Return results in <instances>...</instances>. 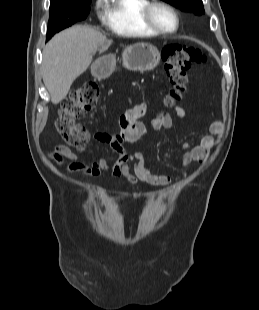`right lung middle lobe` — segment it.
Returning <instances> with one entry per match:
<instances>
[{
	"instance_id": "obj_1",
	"label": "right lung middle lobe",
	"mask_w": 259,
	"mask_h": 310,
	"mask_svg": "<svg viewBox=\"0 0 259 310\" xmlns=\"http://www.w3.org/2000/svg\"><path fill=\"white\" fill-rule=\"evenodd\" d=\"M91 0L81 4L50 7L47 40L54 34L87 17Z\"/></svg>"
}]
</instances>
